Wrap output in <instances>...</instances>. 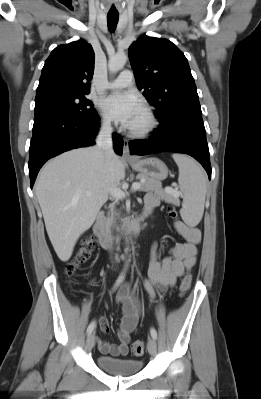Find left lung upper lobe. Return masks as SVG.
Instances as JSON below:
<instances>
[{"mask_svg": "<svg viewBox=\"0 0 261 399\" xmlns=\"http://www.w3.org/2000/svg\"><path fill=\"white\" fill-rule=\"evenodd\" d=\"M129 57L137 86L157 108L155 116L161 127L202 115L188 61L171 41L141 36L130 46Z\"/></svg>", "mask_w": 261, "mask_h": 399, "instance_id": "obj_1", "label": "left lung upper lobe"}]
</instances>
